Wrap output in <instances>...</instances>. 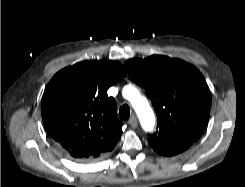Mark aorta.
<instances>
[{"label": "aorta", "mask_w": 245, "mask_h": 187, "mask_svg": "<svg viewBox=\"0 0 245 187\" xmlns=\"http://www.w3.org/2000/svg\"><path fill=\"white\" fill-rule=\"evenodd\" d=\"M130 92L129 99L140 118L143 128L145 130H151L154 126V116L147 100L139 95L135 96L136 90L132 87H130Z\"/></svg>", "instance_id": "obj_1"}]
</instances>
